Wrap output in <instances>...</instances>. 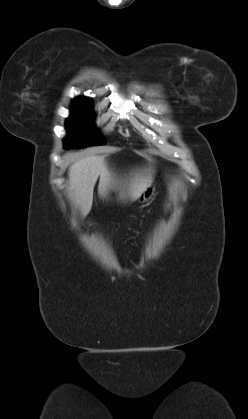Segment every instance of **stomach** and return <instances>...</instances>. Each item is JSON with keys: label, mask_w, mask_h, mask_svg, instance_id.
Instances as JSON below:
<instances>
[{"label": "stomach", "mask_w": 248, "mask_h": 419, "mask_svg": "<svg viewBox=\"0 0 248 419\" xmlns=\"http://www.w3.org/2000/svg\"><path fill=\"white\" fill-rule=\"evenodd\" d=\"M155 191V186L154 185H149L143 192L142 194L139 196L138 200L139 202H145L148 201L149 199H151V197L153 196Z\"/></svg>", "instance_id": "1"}]
</instances>
